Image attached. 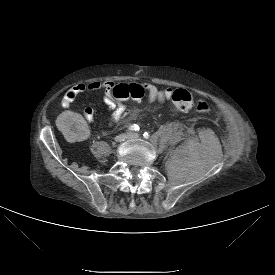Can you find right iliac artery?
<instances>
[{"mask_svg": "<svg viewBox=\"0 0 275 275\" xmlns=\"http://www.w3.org/2000/svg\"><path fill=\"white\" fill-rule=\"evenodd\" d=\"M128 129H129L130 131H137V130H139V127H138V125L133 124V125L129 126Z\"/></svg>", "mask_w": 275, "mask_h": 275, "instance_id": "82829eb1", "label": "right iliac artery"}]
</instances>
